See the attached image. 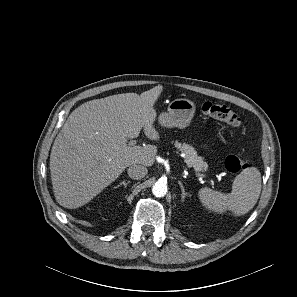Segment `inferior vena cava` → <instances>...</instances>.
<instances>
[{
    "instance_id": "inferior-vena-cava-1",
    "label": "inferior vena cava",
    "mask_w": 297,
    "mask_h": 297,
    "mask_svg": "<svg viewBox=\"0 0 297 297\" xmlns=\"http://www.w3.org/2000/svg\"><path fill=\"white\" fill-rule=\"evenodd\" d=\"M128 175L132 179H141L146 176L148 170L146 167L142 165H132L128 168Z\"/></svg>"
}]
</instances>
